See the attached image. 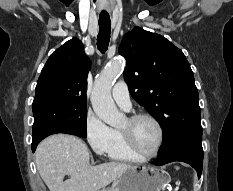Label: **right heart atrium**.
<instances>
[{
  "mask_svg": "<svg viewBox=\"0 0 233 191\" xmlns=\"http://www.w3.org/2000/svg\"><path fill=\"white\" fill-rule=\"evenodd\" d=\"M86 139L98 155H105L113 143V130L94 113H88L85 120Z\"/></svg>",
  "mask_w": 233,
  "mask_h": 191,
  "instance_id": "d8ad5b80",
  "label": "right heart atrium"
}]
</instances>
